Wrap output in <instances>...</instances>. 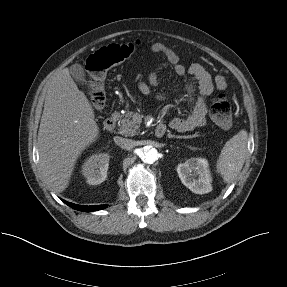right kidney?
<instances>
[{
    "label": "right kidney",
    "mask_w": 287,
    "mask_h": 287,
    "mask_svg": "<svg viewBox=\"0 0 287 287\" xmlns=\"http://www.w3.org/2000/svg\"><path fill=\"white\" fill-rule=\"evenodd\" d=\"M107 153L93 154L82 165V175L90 185H98L105 181L109 166Z\"/></svg>",
    "instance_id": "1"
}]
</instances>
